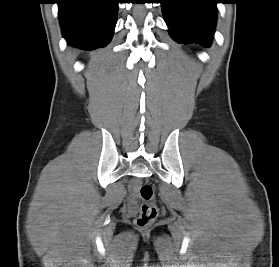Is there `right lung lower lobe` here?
<instances>
[{
	"mask_svg": "<svg viewBox=\"0 0 279 267\" xmlns=\"http://www.w3.org/2000/svg\"><path fill=\"white\" fill-rule=\"evenodd\" d=\"M63 36L71 46H106L114 32L118 0H57Z\"/></svg>",
	"mask_w": 279,
	"mask_h": 267,
	"instance_id": "right-lung-lower-lobe-1",
	"label": "right lung lower lobe"
}]
</instances>
